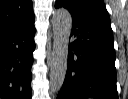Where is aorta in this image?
Listing matches in <instances>:
<instances>
[{
	"label": "aorta",
	"instance_id": "obj_1",
	"mask_svg": "<svg viewBox=\"0 0 128 99\" xmlns=\"http://www.w3.org/2000/svg\"><path fill=\"white\" fill-rule=\"evenodd\" d=\"M72 17L68 10L60 8L53 14V51L50 67V91L57 93L64 82L68 64V44Z\"/></svg>",
	"mask_w": 128,
	"mask_h": 99
}]
</instances>
